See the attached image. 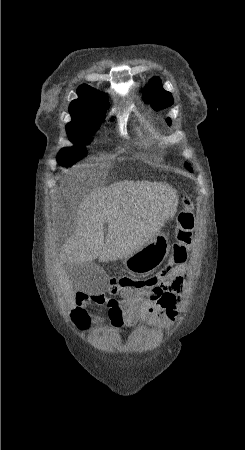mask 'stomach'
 Listing matches in <instances>:
<instances>
[{
  "label": "stomach",
  "mask_w": 245,
  "mask_h": 450,
  "mask_svg": "<svg viewBox=\"0 0 245 450\" xmlns=\"http://www.w3.org/2000/svg\"><path fill=\"white\" fill-rule=\"evenodd\" d=\"M170 251L168 237L159 231L153 239L122 261L132 273L148 274L158 268Z\"/></svg>",
  "instance_id": "stomach-1"
}]
</instances>
